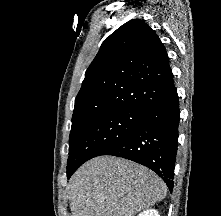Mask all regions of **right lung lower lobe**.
<instances>
[{
	"instance_id": "98d812e1",
	"label": "right lung lower lobe",
	"mask_w": 221,
	"mask_h": 216,
	"mask_svg": "<svg viewBox=\"0 0 221 216\" xmlns=\"http://www.w3.org/2000/svg\"><path fill=\"white\" fill-rule=\"evenodd\" d=\"M178 104L177 90L172 85L143 111L136 129L103 155L126 158L150 168L172 192L180 120ZM78 167H72L67 177Z\"/></svg>"
}]
</instances>
